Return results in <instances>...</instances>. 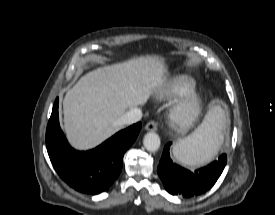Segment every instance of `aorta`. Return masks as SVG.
I'll use <instances>...</instances> for the list:
<instances>
[{
  "mask_svg": "<svg viewBox=\"0 0 275 215\" xmlns=\"http://www.w3.org/2000/svg\"><path fill=\"white\" fill-rule=\"evenodd\" d=\"M160 144V137L154 132L147 133L143 139L144 147L150 152L157 151L160 148Z\"/></svg>",
  "mask_w": 275,
  "mask_h": 215,
  "instance_id": "aorta-1",
  "label": "aorta"
}]
</instances>
